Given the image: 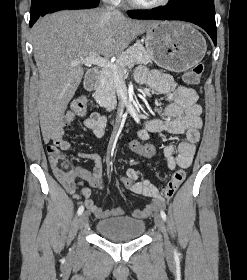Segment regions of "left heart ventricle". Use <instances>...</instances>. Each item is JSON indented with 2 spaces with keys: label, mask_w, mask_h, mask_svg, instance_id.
Masks as SVG:
<instances>
[{
  "label": "left heart ventricle",
  "mask_w": 247,
  "mask_h": 280,
  "mask_svg": "<svg viewBox=\"0 0 247 280\" xmlns=\"http://www.w3.org/2000/svg\"><path fill=\"white\" fill-rule=\"evenodd\" d=\"M136 1L141 2V3H152L157 0H136Z\"/></svg>",
  "instance_id": "b2bd125f"
}]
</instances>
